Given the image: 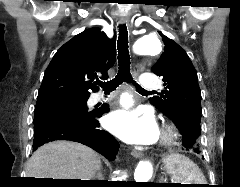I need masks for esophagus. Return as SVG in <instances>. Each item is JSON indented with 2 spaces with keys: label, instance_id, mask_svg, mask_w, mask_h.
<instances>
[{
  "label": "esophagus",
  "instance_id": "34e87169",
  "mask_svg": "<svg viewBox=\"0 0 240 187\" xmlns=\"http://www.w3.org/2000/svg\"><path fill=\"white\" fill-rule=\"evenodd\" d=\"M119 22H120L121 24H126V25H128V26L130 27V25H129V20H128L127 17H121L120 20H119ZM138 72H139V70H138V65H137L136 62H134V64H133V74H134V76H137V75H138ZM131 154H132V156L135 157V158H142L143 155H144L142 148H135V149H133V150L131 151Z\"/></svg>",
  "mask_w": 240,
  "mask_h": 187
}]
</instances>
